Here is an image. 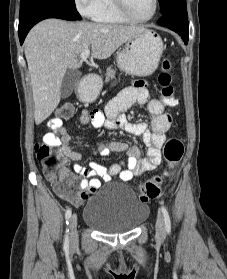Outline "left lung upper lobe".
<instances>
[{
  "label": "left lung upper lobe",
  "mask_w": 227,
  "mask_h": 279,
  "mask_svg": "<svg viewBox=\"0 0 227 279\" xmlns=\"http://www.w3.org/2000/svg\"><path fill=\"white\" fill-rule=\"evenodd\" d=\"M159 4L162 14L174 9H187L186 0H159Z\"/></svg>",
  "instance_id": "5c2ea615"
}]
</instances>
